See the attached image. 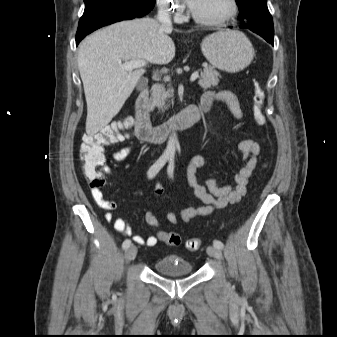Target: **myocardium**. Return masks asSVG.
<instances>
[{
  "mask_svg": "<svg viewBox=\"0 0 337 337\" xmlns=\"http://www.w3.org/2000/svg\"><path fill=\"white\" fill-rule=\"evenodd\" d=\"M229 2V10L228 12L221 18L212 19V18H206L202 17L195 13V11L190 8V14L191 17L198 23L205 25V26H214V27H220L224 26L227 23H229L233 18L236 17V15L239 12V2L238 0H228Z\"/></svg>",
  "mask_w": 337,
  "mask_h": 337,
  "instance_id": "1",
  "label": "myocardium"
}]
</instances>
